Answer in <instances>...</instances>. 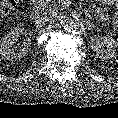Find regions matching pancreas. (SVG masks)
<instances>
[{
  "instance_id": "obj_1",
  "label": "pancreas",
  "mask_w": 118,
  "mask_h": 118,
  "mask_svg": "<svg viewBox=\"0 0 118 118\" xmlns=\"http://www.w3.org/2000/svg\"><path fill=\"white\" fill-rule=\"evenodd\" d=\"M38 9L43 10L44 13H49L52 9L51 0H34ZM87 12L90 16L94 17L97 23L103 27L108 28L111 26L112 21L103 11H100L98 7L91 5L88 7Z\"/></svg>"
}]
</instances>
